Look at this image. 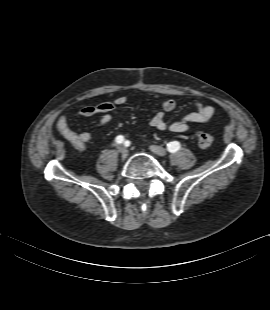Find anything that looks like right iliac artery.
Returning a JSON list of instances; mask_svg holds the SVG:
<instances>
[{"label":"right iliac artery","mask_w":270,"mask_h":310,"mask_svg":"<svg viewBox=\"0 0 270 310\" xmlns=\"http://www.w3.org/2000/svg\"><path fill=\"white\" fill-rule=\"evenodd\" d=\"M115 141L118 143V144H121L123 143L124 141V137L122 135H119L116 137Z\"/></svg>","instance_id":"82829eb1"}]
</instances>
